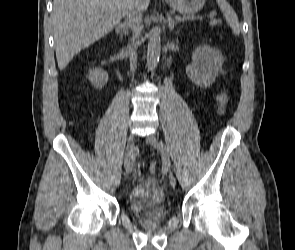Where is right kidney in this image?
<instances>
[{"mask_svg":"<svg viewBox=\"0 0 295 250\" xmlns=\"http://www.w3.org/2000/svg\"><path fill=\"white\" fill-rule=\"evenodd\" d=\"M89 81L97 89H101L108 81V73L102 69L93 68L89 71Z\"/></svg>","mask_w":295,"mask_h":250,"instance_id":"1","label":"right kidney"}]
</instances>
